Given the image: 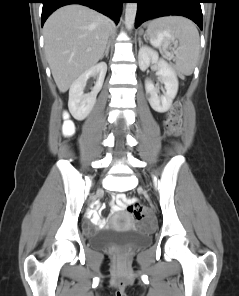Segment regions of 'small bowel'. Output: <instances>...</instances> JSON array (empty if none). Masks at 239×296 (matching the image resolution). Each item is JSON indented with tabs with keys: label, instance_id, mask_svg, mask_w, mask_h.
<instances>
[{
	"label": "small bowel",
	"instance_id": "obj_1",
	"mask_svg": "<svg viewBox=\"0 0 239 296\" xmlns=\"http://www.w3.org/2000/svg\"><path fill=\"white\" fill-rule=\"evenodd\" d=\"M127 200H128V198L126 197V195H124V194L118 195L117 198H116V204L112 205L113 209L115 211L122 210L124 208L125 203H126ZM89 214H90L91 222L93 224L100 226L103 223V220L100 217L98 212L91 211Z\"/></svg>",
	"mask_w": 239,
	"mask_h": 296
}]
</instances>
